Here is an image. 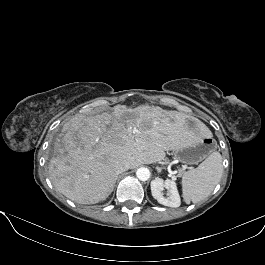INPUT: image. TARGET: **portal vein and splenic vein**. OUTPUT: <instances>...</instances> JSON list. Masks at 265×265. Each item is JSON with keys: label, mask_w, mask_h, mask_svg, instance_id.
Listing matches in <instances>:
<instances>
[{"label": "portal vein and splenic vein", "mask_w": 265, "mask_h": 265, "mask_svg": "<svg viewBox=\"0 0 265 265\" xmlns=\"http://www.w3.org/2000/svg\"><path fill=\"white\" fill-rule=\"evenodd\" d=\"M135 132H137L136 129H130V134H131V133H135ZM182 169H183V170L187 169V166H186V165H183V166H182Z\"/></svg>", "instance_id": "portal-vein-and-splenic-vein-1"}]
</instances>
